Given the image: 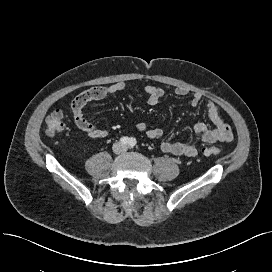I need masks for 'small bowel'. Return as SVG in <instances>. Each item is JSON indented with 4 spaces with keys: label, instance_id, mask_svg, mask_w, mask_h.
Listing matches in <instances>:
<instances>
[{
    "label": "small bowel",
    "instance_id": "1",
    "mask_svg": "<svg viewBox=\"0 0 272 272\" xmlns=\"http://www.w3.org/2000/svg\"><path fill=\"white\" fill-rule=\"evenodd\" d=\"M129 84L126 82H118L107 86L92 87L80 95H78L71 104L73 119L76 126L90 138H105L110 134L107 128H101L95 123L88 121L84 115V107L93 101L102 100L108 96L123 92L129 89ZM144 92L148 96V104L151 106L157 105L165 91L162 88L155 86H146ZM174 93L178 96H188L190 91L185 87H177ZM203 97L199 93H193L191 104L197 106L201 103ZM208 118L213 124L209 127L203 122H198L194 126V133L197 139L202 142L213 143H228L233 140V132L231 126L222 116L221 107L213 100H208L205 104ZM136 129L145 134L148 138L160 140V148L165 153H170L178 156L194 157L197 155V149L194 144L183 141H172L165 138L164 132L160 128H151L144 122L136 124Z\"/></svg>",
    "mask_w": 272,
    "mask_h": 272
}]
</instances>
